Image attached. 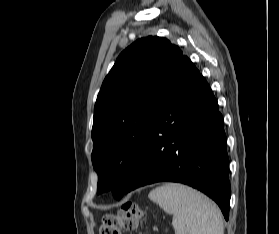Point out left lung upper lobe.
I'll return each mask as SVG.
<instances>
[{"label":"left lung upper lobe","mask_w":279,"mask_h":234,"mask_svg":"<svg viewBox=\"0 0 279 234\" xmlns=\"http://www.w3.org/2000/svg\"><path fill=\"white\" fill-rule=\"evenodd\" d=\"M182 56L176 45L157 36L138 39L118 56L94 108L97 194L112 189L117 199L124 195L158 103Z\"/></svg>","instance_id":"5c2ea615"}]
</instances>
